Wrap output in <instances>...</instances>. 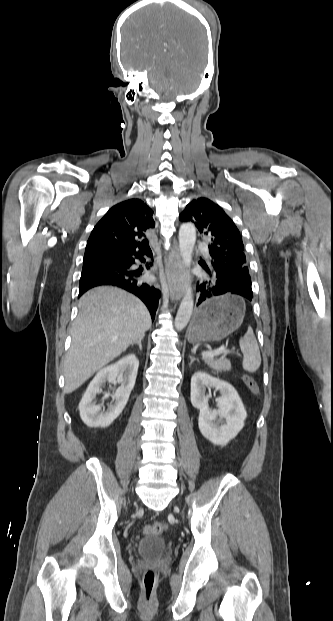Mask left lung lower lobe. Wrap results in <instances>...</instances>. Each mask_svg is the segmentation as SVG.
<instances>
[{
  "label": "left lung lower lobe",
  "mask_w": 333,
  "mask_h": 621,
  "mask_svg": "<svg viewBox=\"0 0 333 621\" xmlns=\"http://www.w3.org/2000/svg\"><path fill=\"white\" fill-rule=\"evenodd\" d=\"M202 266L208 275L197 285L198 304L227 293L238 294L252 300L253 292L248 271L232 269L228 264L213 259L210 260L209 267L206 264Z\"/></svg>",
  "instance_id": "obj_1"
}]
</instances>
